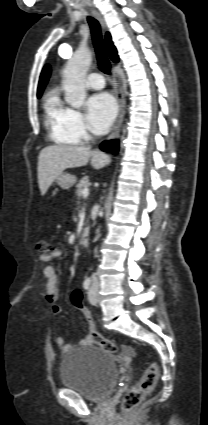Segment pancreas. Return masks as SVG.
I'll return each instance as SVG.
<instances>
[{
	"instance_id": "cf45deb5",
	"label": "pancreas",
	"mask_w": 208,
	"mask_h": 425,
	"mask_svg": "<svg viewBox=\"0 0 208 425\" xmlns=\"http://www.w3.org/2000/svg\"><path fill=\"white\" fill-rule=\"evenodd\" d=\"M90 186L89 183V179L88 177H84L82 178L79 183L76 185L77 190H76V196L77 198H80L83 194V190L84 189H88V187Z\"/></svg>"
}]
</instances>
